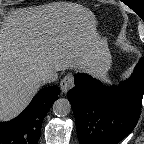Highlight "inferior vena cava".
Segmentation results:
<instances>
[{
  "mask_svg": "<svg viewBox=\"0 0 144 144\" xmlns=\"http://www.w3.org/2000/svg\"><path fill=\"white\" fill-rule=\"evenodd\" d=\"M58 78V75L54 71H47L41 76V81L43 83H51L56 81Z\"/></svg>",
  "mask_w": 144,
  "mask_h": 144,
  "instance_id": "1",
  "label": "inferior vena cava"
}]
</instances>
